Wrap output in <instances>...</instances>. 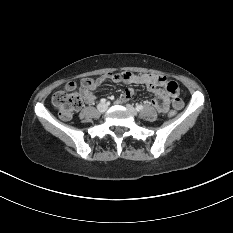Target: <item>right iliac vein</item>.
I'll list each match as a JSON object with an SVG mask.
<instances>
[{"instance_id":"1","label":"right iliac vein","mask_w":233,"mask_h":233,"mask_svg":"<svg viewBox=\"0 0 233 233\" xmlns=\"http://www.w3.org/2000/svg\"><path fill=\"white\" fill-rule=\"evenodd\" d=\"M107 108H108V106L106 105V104H104V103H102V104H99L98 106H97V109H98V111L99 112H105L106 110H107Z\"/></svg>"}]
</instances>
